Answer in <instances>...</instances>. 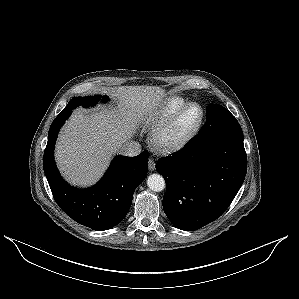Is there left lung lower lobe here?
<instances>
[{"label": "left lung lower lobe", "mask_w": 299, "mask_h": 299, "mask_svg": "<svg viewBox=\"0 0 299 299\" xmlns=\"http://www.w3.org/2000/svg\"><path fill=\"white\" fill-rule=\"evenodd\" d=\"M166 179L163 209L185 231L197 230L224 213L247 172L243 132L230 113L197 134L182 150L158 160Z\"/></svg>", "instance_id": "1"}]
</instances>
